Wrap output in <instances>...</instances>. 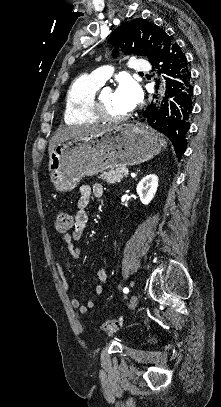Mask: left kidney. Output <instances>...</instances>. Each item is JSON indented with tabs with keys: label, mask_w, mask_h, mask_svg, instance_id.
<instances>
[{
	"label": "left kidney",
	"mask_w": 221,
	"mask_h": 407,
	"mask_svg": "<svg viewBox=\"0 0 221 407\" xmlns=\"http://www.w3.org/2000/svg\"><path fill=\"white\" fill-rule=\"evenodd\" d=\"M158 188V177L155 174L145 176L137 185L136 191L140 197V201L144 205H148L154 198Z\"/></svg>",
	"instance_id": "left-kidney-1"
}]
</instances>
